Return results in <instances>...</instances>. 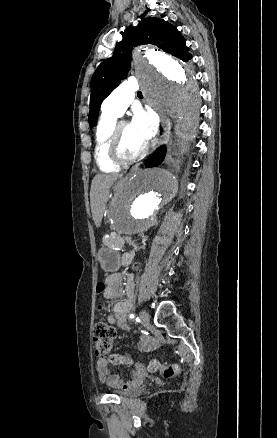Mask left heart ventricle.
Masks as SVG:
<instances>
[{
  "mask_svg": "<svg viewBox=\"0 0 277 438\" xmlns=\"http://www.w3.org/2000/svg\"><path fill=\"white\" fill-rule=\"evenodd\" d=\"M136 71V69H135ZM122 149L127 157H134L143 150V145L135 134L132 125L125 124L121 130Z\"/></svg>",
  "mask_w": 277,
  "mask_h": 438,
  "instance_id": "obj_1",
  "label": "left heart ventricle"
}]
</instances>
